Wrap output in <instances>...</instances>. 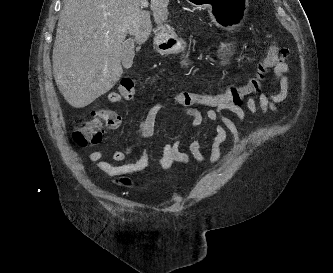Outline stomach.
I'll return each mask as SVG.
<instances>
[{
	"instance_id": "0dacf381",
	"label": "stomach",
	"mask_w": 333,
	"mask_h": 273,
	"mask_svg": "<svg viewBox=\"0 0 333 273\" xmlns=\"http://www.w3.org/2000/svg\"><path fill=\"white\" fill-rule=\"evenodd\" d=\"M197 8L212 10L209 18L214 23H224L223 32H244L250 16L245 12L248 0H187ZM156 50L163 55L177 54L185 50L186 43L170 27H163L154 38ZM218 60H227L228 65H236V58H229L225 49L217 50Z\"/></svg>"
}]
</instances>
